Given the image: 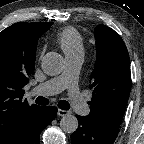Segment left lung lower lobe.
I'll return each instance as SVG.
<instances>
[{
    "instance_id": "0a47b994",
    "label": "left lung lower lobe",
    "mask_w": 144,
    "mask_h": 144,
    "mask_svg": "<svg viewBox=\"0 0 144 144\" xmlns=\"http://www.w3.org/2000/svg\"><path fill=\"white\" fill-rule=\"evenodd\" d=\"M78 129L71 135V144H113L117 132L96 125L85 116H77Z\"/></svg>"
}]
</instances>
